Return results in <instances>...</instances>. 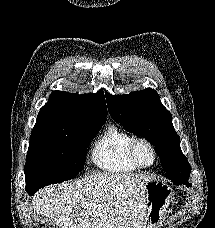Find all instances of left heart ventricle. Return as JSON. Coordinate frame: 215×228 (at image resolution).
Returning <instances> with one entry per match:
<instances>
[{
    "label": "left heart ventricle",
    "instance_id": "b2bd125f",
    "mask_svg": "<svg viewBox=\"0 0 215 228\" xmlns=\"http://www.w3.org/2000/svg\"><path fill=\"white\" fill-rule=\"evenodd\" d=\"M138 159L143 165H150L153 161V155L147 147L142 146L138 150Z\"/></svg>",
    "mask_w": 215,
    "mask_h": 228
}]
</instances>
